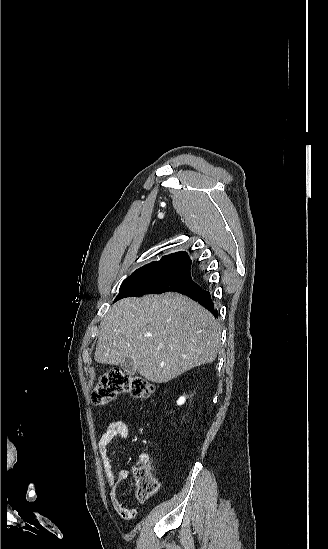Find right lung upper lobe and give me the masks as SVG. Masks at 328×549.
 <instances>
[{"mask_svg": "<svg viewBox=\"0 0 328 549\" xmlns=\"http://www.w3.org/2000/svg\"><path fill=\"white\" fill-rule=\"evenodd\" d=\"M191 260L184 251L163 256L160 261H154L138 270H163L190 274ZM136 270V271H138Z\"/></svg>", "mask_w": 328, "mask_h": 549, "instance_id": "right-lung-upper-lobe-1", "label": "right lung upper lobe"}]
</instances>
